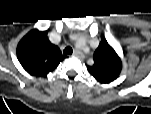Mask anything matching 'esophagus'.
Wrapping results in <instances>:
<instances>
[{
    "label": "esophagus",
    "instance_id": "1",
    "mask_svg": "<svg viewBox=\"0 0 151 114\" xmlns=\"http://www.w3.org/2000/svg\"><path fill=\"white\" fill-rule=\"evenodd\" d=\"M73 56L79 58V59H83L84 58V54L79 51V50H75L74 53H73Z\"/></svg>",
    "mask_w": 151,
    "mask_h": 114
}]
</instances>
